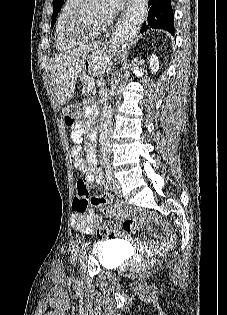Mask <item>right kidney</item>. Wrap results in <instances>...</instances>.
<instances>
[{"label": "right kidney", "mask_w": 227, "mask_h": 315, "mask_svg": "<svg viewBox=\"0 0 227 315\" xmlns=\"http://www.w3.org/2000/svg\"><path fill=\"white\" fill-rule=\"evenodd\" d=\"M149 63H150L151 72L153 74L156 73L159 69L158 57L156 55L152 54V56L150 57Z\"/></svg>", "instance_id": "right-kidney-1"}]
</instances>
